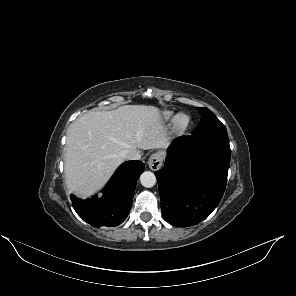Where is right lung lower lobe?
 I'll return each instance as SVG.
<instances>
[{"label":"right lung lower lobe","instance_id":"right-lung-lower-lobe-1","mask_svg":"<svg viewBox=\"0 0 296 296\" xmlns=\"http://www.w3.org/2000/svg\"><path fill=\"white\" fill-rule=\"evenodd\" d=\"M144 166L141 161L123 163L102 191L101 198L94 196L81 200L71 195L73 208L84 221L95 227L121 224L129 214L136 182Z\"/></svg>","mask_w":296,"mask_h":296}]
</instances>
